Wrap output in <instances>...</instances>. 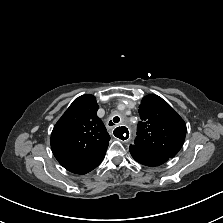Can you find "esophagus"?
<instances>
[{
	"label": "esophagus",
	"instance_id": "obj_1",
	"mask_svg": "<svg viewBox=\"0 0 223 223\" xmlns=\"http://www.w3.org/2000/svg\"><path fill=\"white\" fill-rule=\"evenodd\" d=\"M113 136L122 142H128L130 140V131L124 126H117L113 130Z\"/></svg>",
	"mask_w": 223,
	"mask_h": 223
}]
</instances>
